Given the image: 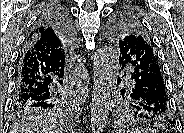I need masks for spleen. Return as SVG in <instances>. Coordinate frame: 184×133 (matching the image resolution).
Instances as JSON below:
<instances>
[{"label":"spleen","instance_id":"3e777b00","mask_svg":"<svg viewBox=\"0 0 184 133\" xmlns=\"http://www.w3.org/2000/svg\"><path fill=\"white\" fill-rule=\"evenodd\" d=\"M146 130H143V129H135L133 130V132L131 133H142V132H145Z\"/></svg>","mask_w":184,"mask_h":133}]
</instances>
